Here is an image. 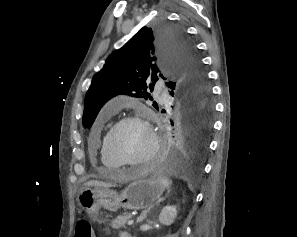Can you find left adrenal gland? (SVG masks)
Instances as JSON below:
<instances>
[{
    "instance_id": "obj_1",
    "label": "left adrenal gland",
    "mask_w": 297,
    "mask_h": 237,
    "mask_svg": "<svg viewBox=\"0 0 297 237\" xmlns=\"http://www.w3.org/2000/svg\"><path fill=\"white\" fill-rule=\"evenodd\" d=\"M170 191L168 190V193H169ZM166 197H168V194L166 195ZM165 197V198H166ZM165 198H161V199H159L157 202H156V205H159V203L161 202V201H163V200H165ZM154 206H151V207H149L147 210H144L142 213H141V215L138 217V219H137V223H141L145 218H146V216H147V213L153 208Z\"/></svg>"
}]
</instances>
